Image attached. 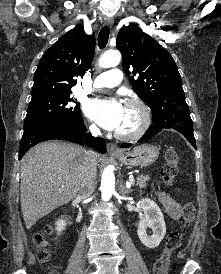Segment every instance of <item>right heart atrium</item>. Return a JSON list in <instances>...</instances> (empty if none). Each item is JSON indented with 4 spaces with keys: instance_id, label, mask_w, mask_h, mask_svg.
<instances>
[{
    "instance_id": "d8ad5b80",
    "label": "right heart atrium",
    "mask_w": 221,
    "mask_h": 274,
    "mask_svg": "<svg viewBox=\"0 0 221 274\" xmlns=\"http://www.w3.org/2000/svg\"><path fill=\"white\" fill-rule=\"evenodd\" d=\"M89 129L93 133H98V128L94 124H91L90 127H89Z\"/></svg>"
}]
</instances>
